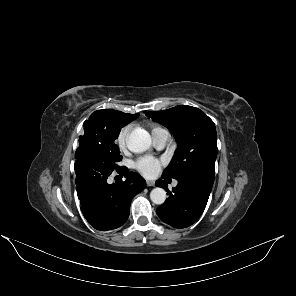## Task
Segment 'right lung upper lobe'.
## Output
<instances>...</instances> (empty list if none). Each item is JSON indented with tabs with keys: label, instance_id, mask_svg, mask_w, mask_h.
<instances>
[{
	"label": "right lung upper lobe",
	"instance_id": "cb5924a9",
	"mask_svg": "<svg viewBox=\"0 0 296 296\" xmlns=\"http://www.w3.org/2000/svg\"><path fill=\"white\" fill-rule=\"evenodd\" d=\"M113 115H125V116L130 117V118H132L134 120L135 118L138 117L139 114L138 113L134 114V115L125 114L123 112L112 110V109L97 110L94 113H92L89 120L84 122V126L85 127H91L95 123L96 124H104Z\"/></svg>",
	"mask_w": 296,
	"mask_h": 296
}]
</instances>
